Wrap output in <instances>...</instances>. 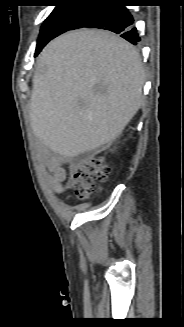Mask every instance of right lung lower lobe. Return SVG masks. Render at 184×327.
I'll list each match as a JSON object with an SVG mask.
<instances>
[{"label":"right lung lower lobe","instance_id":"1","mask_svg":"<svg viewBox=\"0 0 184 327\" xmlns=\"http://www.w3.org/2000/svg\"><path fill=\"white\" fill-rule=\"evenodd\" d=\"M121 0H101L90 6L82 18L71 28L82 27L100 28L121 34V37L132 44L140 41L136 28H133L134 19L124 5L118 4ZM104 3V4H103Z\"/></svg>","mask_w":184,"mask_h":327}]
</instances>
